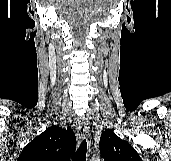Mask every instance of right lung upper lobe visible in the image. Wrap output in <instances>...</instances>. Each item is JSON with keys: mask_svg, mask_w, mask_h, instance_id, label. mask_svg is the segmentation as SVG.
<instances>
[{"mask_svg": "<svg viewBox=\"0 0 171 161\" xmlns=\"http://www.w3.org/2000/svg\"><path fill=\"white\" fill-rule=\"evenodd\" d=\"M76 138L70 127L51 126L22 150L17 161H70Z\"/></svg>", "mask_w": 171, "mask_h": 161, "instance_id": "obj_1", "label": "right lung upper lobe"}]
</instances>
